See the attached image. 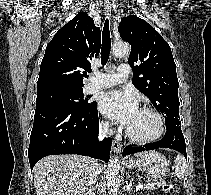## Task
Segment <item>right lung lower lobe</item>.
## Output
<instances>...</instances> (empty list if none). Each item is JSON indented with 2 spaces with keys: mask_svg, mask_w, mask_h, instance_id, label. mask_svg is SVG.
I'll use <instances>...</instances> for the list:
<instances>
[{
  "mask_svg": "<svg viewBox=\"0 0 211 195\" xmlns=\"http://www.w3.org/2000/svg\"><path fill=\"white\" fill-rule=\"evenodd\" d=\"M99 119L96 102L86 108L58 105L36 107L28 157L30 167L43 157L79 154L108 162L111 138L98 141Z\"/></svg>",
  "mask_w": 211,
  "mask_h": 195,
  "instance_id": "1",
  "label": "right lung lower lobe"
}]
</instances>
